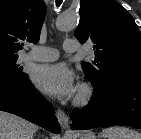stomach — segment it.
Wrapping results in <instances>:
<instances>
[{
  "mask_svg": "<svg viewBox=\"0 0 141 139\" xmlns=\"http://www.w3.org/2000/svg\"><path fill=\"white\" fill-rule=\"evenodd\" d=\"M80 139H96L93 132L87 131L81 134Z\"/></svg>",
  "mask_w": 141,
  "mask_h": 139,
  "instance_id": "obj_1",
  "label": "stomach"
}]
</instances>
